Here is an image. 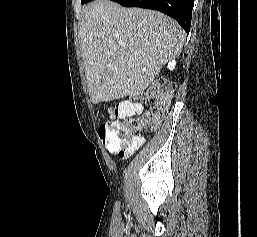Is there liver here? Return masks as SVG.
Instances as JSON below:
<instances>
[{"mask_svg":"<svg viewBox=\"0 0 257 237\" xmlns=\"http://www.w3.org/2000/svg\"><path fill=\"white\" fill-rule=\"evenodd\" d=\"M80 38L94 103L142 93L163 65L181 53L185 42L184 32L170 17L109 0L86 9Z\"/></svg>","mask_w":257,"mask_h":237,"instance_id":"1","label":"liver"}]
</instances>
